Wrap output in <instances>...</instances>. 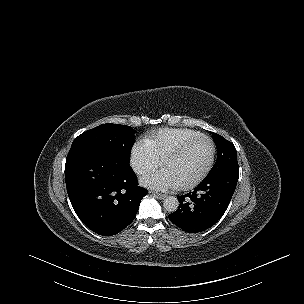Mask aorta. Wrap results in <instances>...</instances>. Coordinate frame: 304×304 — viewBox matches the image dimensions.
<instances>
[{
    "instance_id": "1",
    "label": "aorta",
    "mask_w": 304,
    "mask_h": 304,
    "mask_svg": "<svg viewBox=\"0 0 304 304\" xmlns=\"http://www.w3.org/2000/svg\"><path fill=\"white\" fill-rule=\"evenodd\" d=\"M179 201L175 196H168L163 201L164 209L168 212H175L179 207Z\"/></svg>"
}]
</instances>
